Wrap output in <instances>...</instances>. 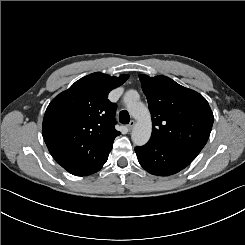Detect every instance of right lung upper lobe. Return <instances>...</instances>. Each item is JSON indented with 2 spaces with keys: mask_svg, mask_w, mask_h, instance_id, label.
<instances>
[{
  "mask_svg": "<svg viewBox=\"0 0 245 245\" xmlns=\"http://www.w3.org/2000/svg\"><path fill=\"white\" fill-rule=\"evenodd\" d=\"M128 75L92 73L75 82L48 105L42 133L53 158L75 176L92 174L106 161L115 137L116 104L108 93Z\"/></svg>",
  "mask_w": 245,
  "mask_h": 245,
  "instance_id": "1",
  "label": "right lung upper lobe"
}]
</instances>
